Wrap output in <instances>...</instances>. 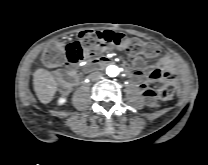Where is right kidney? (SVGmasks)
I'll return each mask as SVG.
<instances>
[{"label":"right kidney","instance_id":"right-kidney-1","mask_svg":"<svg viewBox=\"0 0 208 165\" xmlns=\"http://www.w3.org/2000/svg\"><path fill=\"white\" fill-rule=\"evenodd\" d=\"M66 101H67L66 98H60V99H58L57 103H58L59 106H61V105L65 104Z\"/></svg>","mask_w":208,"mask_h":165}]
</instances>
